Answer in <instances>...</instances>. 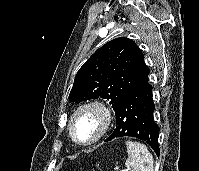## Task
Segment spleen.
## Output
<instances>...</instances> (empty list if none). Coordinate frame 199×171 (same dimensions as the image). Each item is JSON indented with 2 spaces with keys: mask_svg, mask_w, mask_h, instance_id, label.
Here are the masks:
<instances>
[{
  "mask_svg": "<svg viewBox=\"0 0 199 171\" xmlns=\"http://www.w3.org/2000/svg\"><path fill=\"white\" fill-rule=\"evenodd\" d=\"M126 147L128 158L125 165L129 167L131 171H154L153 156L144 144L127 141Z\"/></svg>",
  "mask_w": 199,
  "mask_h": 171,
  "instance_id": "3e777b00",
  "label": "spleen"
}]
</instances>
